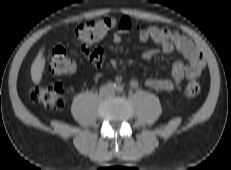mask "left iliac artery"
<instances>
[{
    "label": "left iliac artery",
    "mask_w": 231,
    "mask_h": 170,
    "mask_svg": "<svg viewBox=\"0 0 231 170\" xmlns=\"http://www.w3.org/2000/svg\"><path fill=\"white\" fill-rule=\"evenodd\" d=\"M116 90H117V92L121 93L124 90V86L123 85H118Z\"/></svg>",
    "instance_id": "44dca946"
}]
</instances>
